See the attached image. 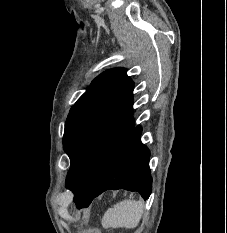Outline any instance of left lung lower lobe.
Here are the masks:
<instances>
[{"label":"left lung lower lobe","instance_id":"obj_1","mask_svg":"<svg viewBox=\"0 0 227 233\" xmlns=\"http://www.w3.org/2000/svg\"><path fill=\"white\" fill-rule=\"evenodd\" d=\"M141 126L133 127L113 152L96 189L76 201L77 208L89 206L102 192L113 189L138 191L146 200L152 190L150 151L140 141Z\"/></svg>","mask_w":227,"mask_h":233}]
</instances>
